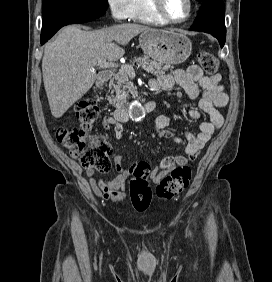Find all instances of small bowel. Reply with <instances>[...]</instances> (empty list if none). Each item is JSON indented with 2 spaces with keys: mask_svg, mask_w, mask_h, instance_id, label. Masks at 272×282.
Listing matches in <instances>:
<instances>
[{
  "mask_svg": "<svg viewBox=\"0 0 272 282\" xmlns=\"http://www.w3.org/2000/svg\"><path fill=\"white\" fill-rule=\"evenodd\" d=\"M157 83L153 90H171L176 85L180 86L187 95L189 102L181 105L178 111L188 110L192 119L199 120L201 113L209 116V121H202L199 124V132L194 135L186 131L187 140L185 153L178 156H168L159 160L158 165L150 173L153 183H159L161 179L177 166L188 164L197 157L200 150L204 148L214 131L223 125L224 119L220 109L228 103V94L221 84V76L214 74L207 76L197 65H190L187 69H177L170 74L156 78ZM152 88V87H151ZM173 123L170 114L160 115L155 122L159 138H170L177 143H182L178 136L169 130ZM105 129L112 128L117 139L123 137V125L115 118L106 117L102 123ZM116 175L112 179H102L95 176V170L86 169V175L93 192L105 200L115 203H122L126 199V180L131 174L132 168L123 165L120 155L113 159ZM149 165L143 161H136L134 167Z\"/></svg>",
  "mask_w": 272,
  "mask_h": 282,
  "instance_id": "small-bowel-1",
  "label": "small bowel"
}]
</instances>
